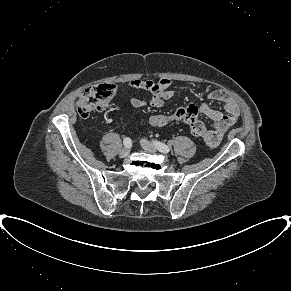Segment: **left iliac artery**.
<instances>
[{
  "instance_id": "44dca946",
  "label": "left iliac artery",
  "mask_w": 291,
  "mask_h": 291,
  "mask_svg": "<svg viewBox=\"0 0 291 291\" xmlns=\"http://www.w3.org/2000/svg\"><path fill=\"white\" fill-rule=\"evenodd\" d=\"M153 143L156 146V148L162 153H168L170 151V148L162 142L154 141Z\"/></svg>"
}]
</instances>
